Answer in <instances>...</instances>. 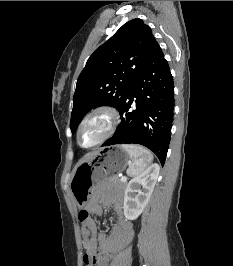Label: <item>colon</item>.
I'll return each instance as SVG.
<instances>
[{"label": "colon", "instance_id": "1", "mask_svg": "<svg viewBox=\"0 0 233 266\" xmlns=\"http://www.w3.org/2000/svg\"><path fill=\"white\" fill-rule=\"evenodd\" d=\"M78 218H79L81 225H85L86 222L90 219V214L87 210H81L79 212ZM86 261L90 262L91 260L87 258Z\"/></svg>", "mask_w": 233, "mask_h": 266}]
</instances>
